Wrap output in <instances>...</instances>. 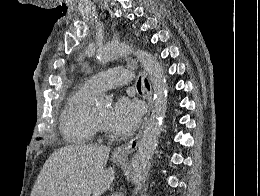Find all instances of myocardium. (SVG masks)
I'll return each mask as SVG.
<instances>
[{"instance_id": "obj_1", "label": "myocardium", "mask_w": 260, "mask_h": 196, "mask_svg": "<svg viewBox=\"0 0 260 196\" xmlns=\"http://www.w3.org/2000/svg\"><path fill=\"white\" fill-rule=\"evenodd\" d=\"M92 123L97 129L106 132V126L96 117L95 113H92Z\"/></svg>"}]
</instances>
